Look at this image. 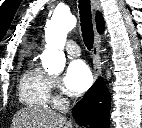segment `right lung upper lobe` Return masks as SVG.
Here are the masks:
<instances>
[{
	"label": "right lung upper lobe",
	"mask_w": 142,
	"mask_h": 128,
	"mask_svg": "<svg viewBox=\"0 0 142 128\" xmlns=\"http://www.w3.org/2000/svg\"><path fill=\"white\" fill-rule=\"evenodd\" d=\"M96 25H97V30L99 33H102L104 30V21L99 12L96 14Z\"/></svg>",
	"instance_id": "cb5924a9"
}]
</instances>
